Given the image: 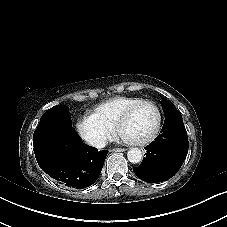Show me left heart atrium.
I'll return each instance as SVG.
<instances>
[{"mask_svg": "<svg viewBox=\"0 0 227 227\" xmlns=\"http://www.w3.org/2000/svg\"><path fill=\"white\" fill-rule=\"evenodd\" d=\"M118 140H120L123 143L132 144V145H138L140 144V138L129 134V133H121L118 135Z\"/></svg>", "mask_w": 227, "mask_h": 227, "instance_id": "obj_1", "label": "left heart atrium"}]
</instances>
